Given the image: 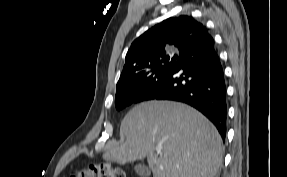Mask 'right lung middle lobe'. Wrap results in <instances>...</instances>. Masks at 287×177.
<instances>
[{
    "instance_id": "1",
    "label": "right lung middle lobe",
    "mask_w": 287,
    "mask_h": 177,
    "mask_svg": "<svg viewBox=\"0 0 287 177\" xmlns=\"http://www.w3.org/2000/svg\"><path fill=\"white\" fill-rule=\"evenodd\" d=\"M177 63L178 57L159 60L147 68L134 83H125L117 86L115 96L116 109L121 110L134 103L148 87L164 77Z\"/></svg>"
}]
</instances>
